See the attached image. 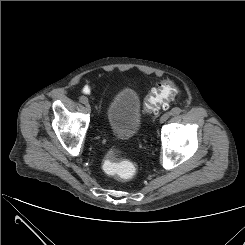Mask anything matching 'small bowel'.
<instances>
[{
  "label": "small bowel",
  "instance_id": "c3829d8e",
  "mask_svg": "<svg viewBox=\"0 0 245 245\" xmlns=\"http://www.w3.org/2000/svg\"><path fill=\"white\" fill-rule=\"evenodd\" d=\"M83 93L89 94L91 92V86L90 85H85L82 89Z\"/></svg>",
  "mask_w": 245,
  "mask_h": 245
}]
</instances>
